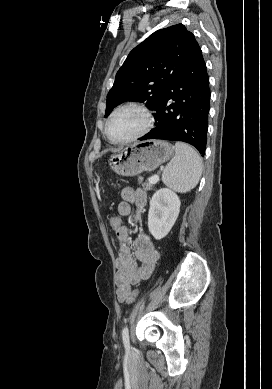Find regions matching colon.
<instances>
[{
  "label": "colon",
  "instance_id": "colon-1",
  "mask_svg": "<svg viewBox=\"0 0 272 389\" xmlns=\"http://www.w3.org/2000/svg\"><path fill=\"white\" fill-rule=\"evenodd\" d=\"M109 224H110V227L113 231L116 232L117 230H119L120 227L122 226V219H121L120 215L115 214V215L110 216ZM137 297H138V291L133 290L127 295V297L125 298V302L128 304H131V303L135 302Z\"/></svg>",
  "mask_w": 272,
  "mask_h": 389
}]
</instances>
